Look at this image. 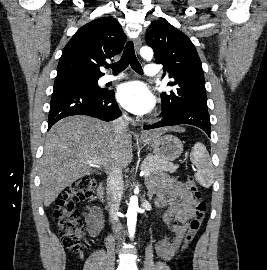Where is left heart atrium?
<instances>
[{
    "instance_id": "obj_1",
    "label": "left heart atrium",
    "mask_w": 267,
    "mask_h": 270,
    "mask_svg": "<svg viewBox=\"0 0 267 270\" xmlns=\"http://www.w3.org/2000/svg\"><path fill=\"white\" fill-rule=\"evenodd\" d=\"M118 102L135 114H146L155 105V98L149 88L142 82L132 81L119 86L116 94Z\"/></svg>"
}]
</instances>
